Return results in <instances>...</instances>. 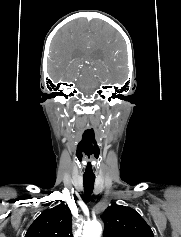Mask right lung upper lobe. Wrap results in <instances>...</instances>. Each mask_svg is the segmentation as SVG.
<instances>
[{
    "label": "right lung upper lobe",
    "mask_w": 181,
    "mask_h": 237,
    "mask_svg": "<svg viewBox=\"0 0 181 237\" xmlns=\"http://www.w3.org/2000/svg\"><path fill=\"white\" fill-rule=\"evenodd\" d=\"M71 222L70 209L60 204L42 212L31 224L25 237H73Z\"/></svg>",
    "instance_id": "1"
}]
</instances>
